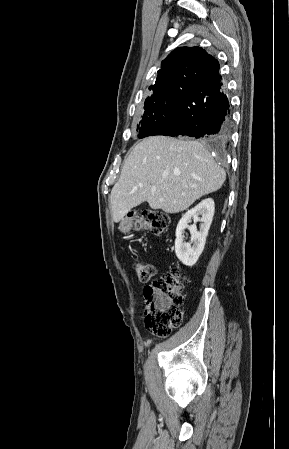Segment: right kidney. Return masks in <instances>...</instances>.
I'll return each mask as SVG.
<instances>
[{
	"label": "right kidney",
	"instance_id": "right-kidney-1",
	"mask_svg": "<svg viewBox=\"0 0 289 449\" xmlns=\"http://www.w3.org/2000/svg\"><path fill=\"white\" fill-rule=\"evenodd\" d=\"M214 210V200L206 198L194 208L188 210L180 219L176 228L175 253L184 265L193 266L201 255L212 223ZM192 220L194 224L189 226L188 223ZM197 222H201L199 231L196 227ZM186 228L190 231L192 246L190 243L184 242L183 233Z\"/></svg>",
	"mask_w": 289,
	"mask_h": 449
}]
</instances>
